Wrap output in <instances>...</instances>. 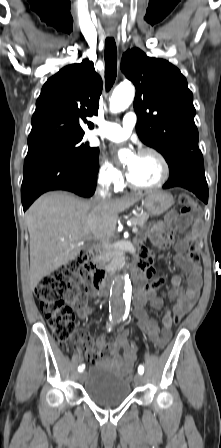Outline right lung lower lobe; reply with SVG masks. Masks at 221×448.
Instances as JSON below:
<instances>
[{
  "mask_svg": "<svg viewBox=\"0 0 221 448\" xmlns=\"http://www.w3.org/2000/svg\"><path fill=\"white\" fill-rule=\"evenodd\" d=\"M98 170L99 158L93 163L81 164L57 154L27 155L21 186L24 211L47 191L66 190L83 197L92 196Z\"/></svg>",
  "mask_w": 221,
  "mask_h": 448,
  "instance_id": "98d812e1",
  "label": "right lung lower lobe"
}]
</instances>
